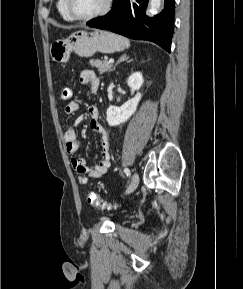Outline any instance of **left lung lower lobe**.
I'll return each mask as SVG.
<instances>
[{"label":"left lung lower lobe","mask_w":243,"mask_h":289,"mask_svg":"<svg viewBox=\"0 0 243 289\" xmlns=\"http://www.w3.org/2000/svg\"><path fill=\"white\" fill-rule=\"evenodd\" d=\"M174 1L165 0L164 10L154 18H148L144 14L148 0H113L110 12L88 21L87 25L128 38L151 41L170 52L174 29Z\"/></svg>","instance_id":"1"}]
</instances>
